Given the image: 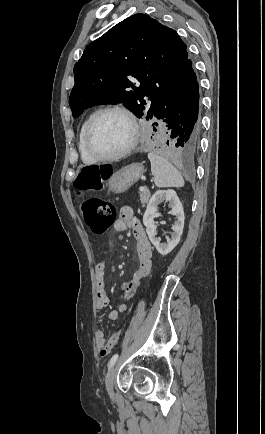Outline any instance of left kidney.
<instances>
[{
	"label": "left kidney",
	"mask_w": 265,
	"mask_h": 434,
	"mask_svg": "<svg viewBox=\"0 0 265 434\" xmlns=\"http://www.w3.org/2000/svg\"><path fill=\"white\" fill-rule=\"evenodd\" d=\"M160 202H169V206L172 208L169 214L176 216V222H174L171 228V230H173L172 238L171 240H168V244H160L159 240L155 238L156 226H154L153 220L155 218L156 212H158L157 206L160 204ZM184 220L185 218L182 204L174 190H158V192L153 194L152 198H150L147 204V210L144 214L143 224L146 226V232L150 242H152L159 254L166 256V254L172 252L175 246L179 244L180 238L183 234Z\"/></svg>",
	"instance_id": "5707ae66"
}]
</instances>
